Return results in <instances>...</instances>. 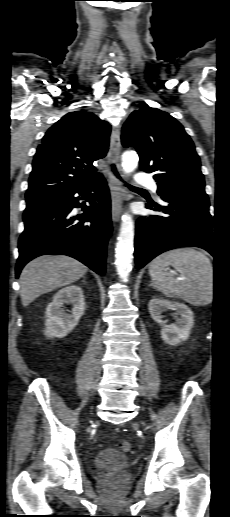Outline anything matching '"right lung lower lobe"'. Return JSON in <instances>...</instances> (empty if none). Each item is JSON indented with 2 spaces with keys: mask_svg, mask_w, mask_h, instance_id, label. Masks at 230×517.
I'll return each instance as SVG.
<instances>
[{
  "mask_svg": "<svg viewBox=\"0 0 230 517\" xmlns=\"http://www.w3.org/2000/svg\"><path fill=\"white\" fill-rule=\"evenodd\" d=\"M84 199L90 206L79 202ZM81 205L84 212L72 216V209ZM23 220L25 229L19 238L16 277L26 263L46 254L71 256L104 274L112 227L110 194L102 175L74 189L26 199Z\"/></svg>",
  "mask_w": 230,
  "mask_h": 517,
  "instance_id": "98d812e1",
  "label": "right lung lower lobe"
}]
</instances>
